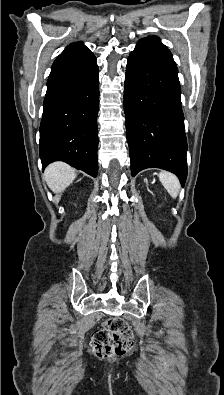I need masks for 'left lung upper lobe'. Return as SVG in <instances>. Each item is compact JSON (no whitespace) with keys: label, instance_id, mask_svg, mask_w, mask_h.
<instances>
[{"label":"left lung upper lobe","instance_id":"1","mask_svg":"<svg viewBox=\"0 0 224 395\" xmlns=\"http://www.w3.org/2000/svg\"><path fill=\"white\" fill-rule=\"evenodd\" d=\"M141 40H146V41H151V42H156V43H161L160 38L156 37V36H150Z\"/></svg>","mask_w":224,"mask_h":395}]
</instances>
